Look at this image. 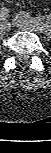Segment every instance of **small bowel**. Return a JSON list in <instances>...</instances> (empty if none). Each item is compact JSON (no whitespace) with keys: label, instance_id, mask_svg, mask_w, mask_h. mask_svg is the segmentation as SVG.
Segmentation results:
<instances>
[{"label":"small bowel","instance_id":"1","mask_svg":"<svg viewBox=\"0 0 51 153\" xmlns=\"http://www.w3.org/2000/svg\"><path fill=\"white\" fill-rule=\"evenodd\" d=\"M6 2H8V3H12V2H14L15 0H5Z\"/></svg>","mask_w":51,"mask_h":153}]
</instances>
